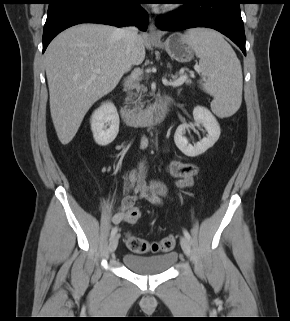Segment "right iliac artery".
<instances>
[{
  "instance_id": "right-iliac-artery-1",
  "label": "right iliac artery",
  "mask_w": 290,
  "mask_h": 321,
  "mask_svg": "<svg viewBox=\"0 0 290 321\" xmlns=\"http://www.w3.org/2000/svg\"><path fill=\"white\" fill-rule=\"evenodd\" d=\"M117 230H118L117 226L112 229V231H111V238H112L113 236H115V234L117 233Z\"/></svg>"
}]
</instances>
